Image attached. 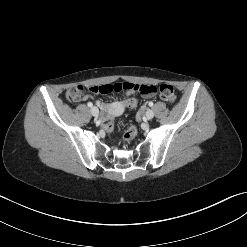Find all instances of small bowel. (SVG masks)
I'll return each mask as SVG.
<instances>
[{
  "mask_svg": "<svg viewBox=\"0 0 247 247\" xmlns=\"http://www.w3.org/2000/svg\"><path fill=\"white\" fill-rule=\"evenodd\" d=\"M133 94H137V93H135L134 91H132V89L125 91V96L127 97L126 100H128V98H131V99H133L134 101H136L134 98L130 97V96L133 95ZM86 98H87L86 96L82 95V96H79V97L74 98L73 101L78 102V101L85 100ZM147 98H148V97H147ZM126 100H125V101H126ZM125 101L123 102V105H125ZM136 105H137V102H136ZM101 106H102V108H103L105 111L107 110V106H106V105L102 104ZM131 109H133V107H132Z\"/></svg>",
  "mask_w": 247,
  "mask_h": 247,
  "instance_id": "obj_1",
  "label": "small bowel"
}]
</instances>
